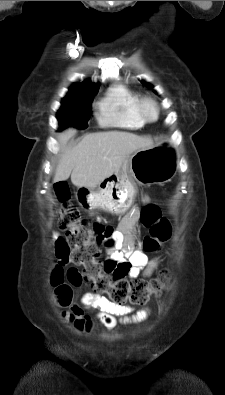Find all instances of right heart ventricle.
<instances>
[{"mask_svg":"<svg viewBox=\"0 0 225 395\" xmlns=\"http://www.w3.org/2000/svg\"><path fill=\"white\" fill-rule=\"evenodd\" d=\"M139 95L123 84L111 86L98 104V121L103 126L139 129L144 122L138 116Z\"/></svg>","mask_w":225,"mask_h":395,"instance_id":"obj_1","label":"right heart ventricle"}]
</instances>
